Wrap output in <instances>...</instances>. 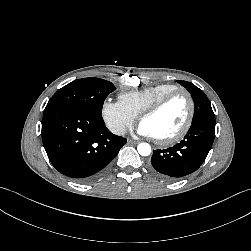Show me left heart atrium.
I'll use <instances>...</instances> for the list:
<instances>
[{
    "instance_id": "obj_1",
    "label": "left heart atrium",
    "mask_w": 251,
    "mask_h": 251,
    "mask_svg": "<svg viewBox=\"0 0 251 251\" xmlns=\"http://www.w3.org/2000/svg\"><path fill=\"white\" fill-rule=\"evenodd\" d=\"M138 133L145 137H153V134L151 133V131L142 123H140L138 126Z\"/></svg>"
}]
</instances>
